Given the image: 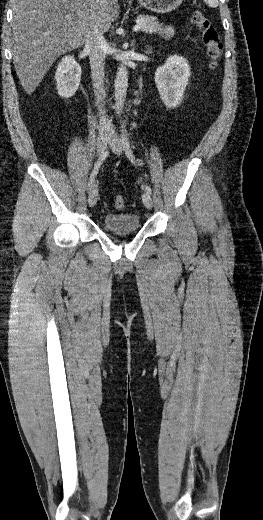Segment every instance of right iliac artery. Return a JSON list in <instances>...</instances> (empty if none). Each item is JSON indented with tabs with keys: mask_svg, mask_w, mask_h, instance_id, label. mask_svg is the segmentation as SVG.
Here are the masks:
<instances>
[{
	"mask_svg": "<svg viewBox=\"0 0 263 520\" xmlns=\"http://www.w3.org/2000/svg\"><path fill=\"white\" fill-rule=\"evenodd\" d=\"M108 155V151H105L100 157L99 159L96 161L95 165H94V168L91 172V175H90V178H89V182H88V189L91 190L92 186H93V183L95 181V178L98 174V171L101 167V165L103 164V162L105 161L106 157Z\"/></svg>",
	"mask_w": 263,
	"mask_h": 520,
	"instance_id": "right-iliac-artery-1",
	"label": "right iliac artery"
}]
</instances>
